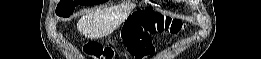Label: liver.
<instances>
[{
  "instance_id": "liver-1",
  "label": "liver",
  "mask_w": 261,
  "mask_h": 59,
  "mask_svg": "<svg viewBox=\"0 0 261 59\" xmlns=\"http://www.w3.org/2000/svg\"><path fill=\"white\" fill-rule=\"evenodd\" d=\"M123 19L114 8L95 9L78 20L77 29L87 38H101L116 30Z\"/></svg>"
}]
</instances>
